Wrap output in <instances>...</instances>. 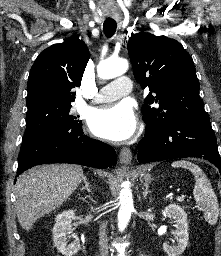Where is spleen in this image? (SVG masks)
Returning <instances> with one entry per match:
<instances>
[{
  "instance_id": "1",
  "label": "spleen",
  "mask_w": 221,
  "mask_h": 256,
  "mask_svg": "<svg viewBox=\"0 0 221 256\" xmlns=\"http://www.w3.org/2000/svg\"><path fill=\"white\" fill-rule=\"evenodd\" d=\"M171 166L174 168H185L193 173L195 177L193 189L195 201L203 210L206 221L211 225L216 224L219 217L218 199L202 169L187 160L174 161Z\"/></svg>"
}]
</instances>
